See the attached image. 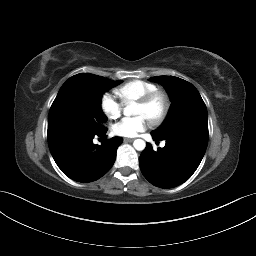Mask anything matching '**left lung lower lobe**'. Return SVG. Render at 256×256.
Instances as JSON below:
<instances>
[{
	"label": "left lung lower lobe",
	"mask_w": 256,
	"mask_h": 256,
	"mask_svg": "<svg viewBox=\"0 0 256 256\" xmlns=\"http://www.w3.org/2000/svg\"><path fill=\"white\" fill-rule=\"evenodd\" d=\"M206 148L185 139H166L165 147L154 151L147 143L139 158L140 169L151 184L160 188L176 187L196 171Z\"/></svg>",
	"instance_id": "1"
}]
</instances>
